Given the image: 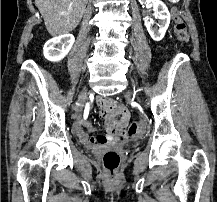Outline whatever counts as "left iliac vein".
Returning a JSON list of instances; mask_svg holds the SVG:
<instances>
[{
	"instance_id": "obj_1",
	"label": "left iliac vein",
	"mask_w": 217,
	"mask_h": 202,
	"mask_svg": "<svg viewBox=\"0 0 217 202\" xmlns=\"http://www.w3.org/2000/svg\"><path fill=\"white\" fill-rule=\"evenodd\" d=\"M125 96H126V97H129V96H130V93H129V92H127V93L125 94Z\"/></svg>"
}]
</instances>
